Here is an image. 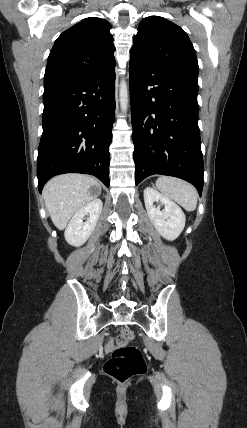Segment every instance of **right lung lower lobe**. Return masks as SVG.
<instances>
[{"mask_svg": "<svg viewBox=\"0 0 247 428\" xmlns=\"http://www.w3.org/2000/svg\"><path fill=\"white\" fill-rule=\"evenodd\" d=\"M38 188L53 176L84 173L109 187L115 112V61L66 84L44 88Z\"/></svg>", "mask_w": 247, "mask_h": 428, "instance_id": "98d812e1", "label": "right lung lower lobe"}]
</instances>
